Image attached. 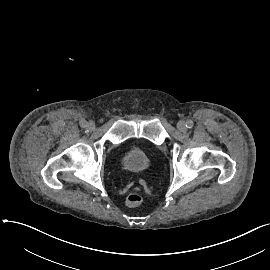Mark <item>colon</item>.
<instances>
[{
	"label": "colon",
	"instance_id": "colon-1",
	"mask_svg": "<svg viewBox=\"0 0 270 270\" xmlns=\"http://www.w3.org/2000/svg\"><path fill=\"white\" fill-rule=\"evenodd\" d=\"M143 202V197L138 192H131L126 196L125 203L128 206L135 207Z\"/></svg>",
	"mask_w": 270,
	"mask_h": 270
}]
</instances>
